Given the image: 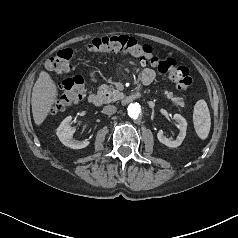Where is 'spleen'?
<instances>
[{
  "label": "spleen",
  "instance_id": "spleen-1",
  "mask_svg": "<svg viewBox=\"0 0 238 238\" xmlns=\"http://www.w3.org/2000/svg\"><path fill=\"white\" fill-rule=\"evenodd\" d=\"M193 124L198 137L205 140L210 132L211 117L208 105L203 99L198 100L194 105Z\"/></svg>",
  "mask_w": 238,
  "mask_h": 238
}]
</instances>
